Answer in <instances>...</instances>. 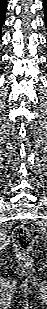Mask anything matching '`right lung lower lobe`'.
I'll list each match as a JSON object with an SVG mask.
<instances>
[{
  "instance_id": "right-lung-lower-lobe-1",
  "label": "right lung lower lobe",
  "mask_w": 47,
  "mask_h": 309,
  "mask_svg": "<svg viewBox=\"0 0 47 309\" xmlns=\"http://www.w3.org/2000/svg\"><path fill=\"white\" fill-rule=\"evenodd\" d=\"M6 9H7V0H0V29L5 21Z\"/></svg>"
}]
</instances>
